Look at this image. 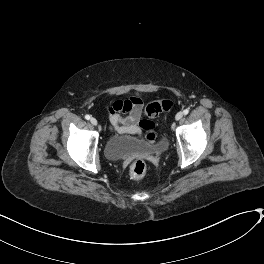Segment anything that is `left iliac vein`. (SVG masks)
<instances>
[{
	"mask_svg": "<svg viewBox=\"0 0 264 264\" xmlns=\"http://www.w3.org/2000/svg\"><path fill=\"white\" fill-rule=\"evenodd\" d=\"M183 116V113L182 112H178L176 115H175V119L176 120H180Z\"/></svg>",
	"mask_w": 264,
	"mask_h": 264,
	"instance_id": "4c4485c4",
	"label": "left iliac vein"
}]
</instances>
